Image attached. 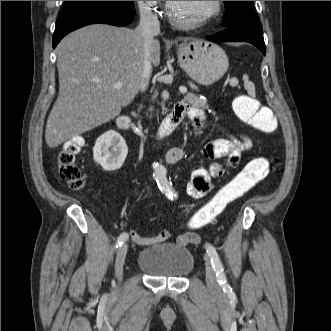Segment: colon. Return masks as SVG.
I'll list each match as a JSON object with an SVG mask.
<instances>
[{
	"instance_id": "5ec220e1",
	"label": "colon",
	"mask_w": 331,
	"mask_h": 331,
	"mask_svg": "<svg viewBox=\"0 0 331 331\" xmlns=\"http://www.w3.org/2000/svg\"><path fill=\"white\" fill-rule=\"evenodd\" d=\"M233 108L237 117L254 130L272 133L277 129V119L273 112L250 95L236 97ZM82 145V140L75 137L66 142L56 155L59 177L74 190L81 189L85 185V177L77 164V155ZM269 171L270 162L267 158L257 157L250 161L192 216L190 227L196 229L214 223L231 203L245 196L264 180ZM180 239L183 243L200 242L199 235L193 232L184 234Z\"/></svg>"
}]
</instances>
